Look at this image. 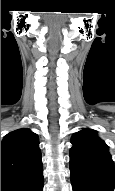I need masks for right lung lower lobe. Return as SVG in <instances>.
Segmentation results:
<instances>
[{
	"mask_svg": "<svg viewBox=\"0 0 115 191\" xmlns=\"http://www.w3.org/2000/svg\"><path fill=\"white\" fill-rule=\"evenodd\" d=\"M1 191H43V168L25 176L2 177Z\"/></svg>",
	"mask_w": 115,
	"mask_h": 191,
	"instance_id": "1",
	"label": "right lung lower lobe"
}]
</instances>
